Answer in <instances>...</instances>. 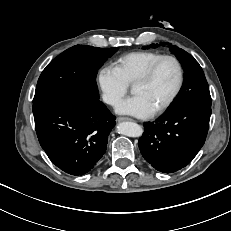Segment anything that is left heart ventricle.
<instances>
[{"instance_id": "obj_1", "label": "left heart ventricle", "mask_w": 231, "mask_h": 231, "mask_svg": "<svg viewBox=\"0 0 231 231\" xmlns=\"http://www.w3.org/2000/svg\"><path fill=\"white\" fill-rule=\"evenodd\" d=\"M178 81L175 63L165 60L157 67L149 81L136 84L132 88L134 95H141L155 110L171 95Z\"/></svg>"}]
</instances>
